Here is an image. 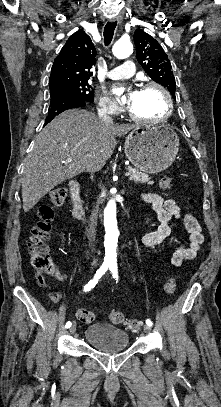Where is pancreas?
Segmentation results:
<instances>
[{
    "label": "pancreas",
    "instance_id": "cf45deb5",
    "mask_svg": "<svg viewBox=\"0 0 221 407\" xmlns=\"http://www.w3.org/2000/svg\"><path fill=\"white\" fill-rule=\"evenodd\" d=\"M128 171L130 172V180H134L137 183H147L149 185L154 183L146 173H142L136 168L128 167Z\"/></svg>",
    "mask_w": 221,
    "mask_h": 407
}]
</instances>
